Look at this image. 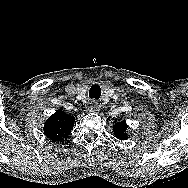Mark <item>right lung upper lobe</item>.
Returning a JSON list of instances; mask_svg holds the SVG:
<instances>
[{"label":"right lung upper lobe","mask_w":188,"mask_h":188,"mask_svg":"<svg viewBox=\"0 0 188 188\" xmlns=\"http://www.w3.org/2000/svg\"><path fill=\"white\" fill-rule=\"evenodd\" d=\"M75 118L62 110H57L45 122L44 133L52 141H60L71 132Z\"/></svg>","instance_id":"cb5924a9"}]
</instances>
